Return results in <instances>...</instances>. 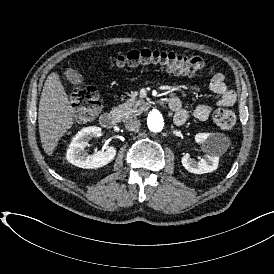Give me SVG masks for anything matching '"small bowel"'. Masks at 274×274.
Returning <instances> with one entry per match:
<instances>
[{
    "label": "small bowel",
    "instance_id": "c3829d8e",
    "mask_svg": "<svg viewBox=\"0 0 274 274\" xmlns=\"http://www.w3.org/2000/svg\"><path fill=\"white\" fill-rule=\"evenodd\" d=\"M199 78L202 79L203 77L200 76ZM205 81L208 88L218 95V106L230 107L235 104L237 95L228 87L227 79L223 74L211 68L205 77ZM170 108L174 112V122L177 125H183L188 119V111L181 106L180 102L178 106L174 108L170 106ZM210 113L211 107L207 103H200L193 110V116L199 121H206Z\"/></svg>",
    "mask_w": 274,
    "mask_h": 274
}]
</instances>
